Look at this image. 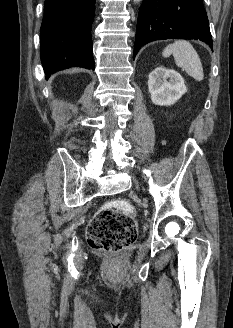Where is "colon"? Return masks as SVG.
<instances>
[{"mask_svg":"<svg viewBox=\"0 0 233 328\" xmlns=\"http://www.w3.org/2000/svg\"><path fill=\"white\" fill-rule=\"evenodd\" d=\"M134 207L125 200L106 203L87 228V241L97 251L118 254L134 243L137 229Z\"/></svg>","mask_w":233,"mask_h":328,"instance_id":"5ec220e1","label":"colon"}]
</instances>
